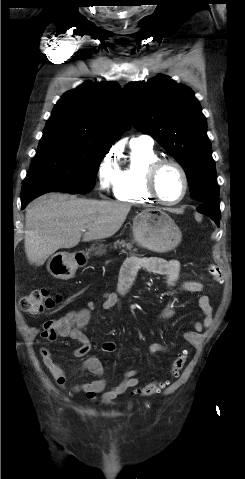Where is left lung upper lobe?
Wrapping results in <instances>:
<instances>
[{
    "label": "left lung upper lobe",
    "mask_w": 245,
    "mask_h": 479,
    "mask_svg": "<svg viewBox=\"0 0 245 479\" xmlns=\"http://www.w3.org/2000/svg\"><path fill=\"white\" fill-rule=\"evenodd\" d=\"M124 95L133 125L150 134L183 167L191 197L217 199L219 186L207 123L193 91L167 76L131 82Z\"/></svg>",
    "instance_id": "obj_1"
}]
</instances>
